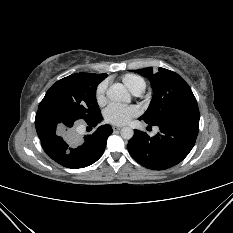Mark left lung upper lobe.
<instances>
[{"label":"left lung upper lobe","mask_w":233,"mask_h":233,"mask_svg":"<svg viewBox=\"0 0 233 233\" xmlns=\"http://www.w3.org/2000/svg\"><path fill=\"white\" fill-rule=\"evenodd\" d=\"M149 78L154 92L147 111L140 117L149 124H156L183 106L196 102L193 92L185 80L173 71L159 68L132 70Z\"/></svg>","instance_id":"obj_1"}]
</instances>
